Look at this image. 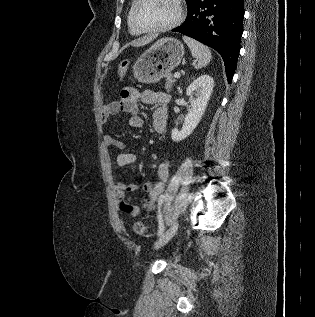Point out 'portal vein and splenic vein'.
I'll use <instances>...</instances> for the list:
<instances>
[{"mask_svg": "<svg viewBox=\"0 0 315 317\" xmlns=\"http://www.w3.org/2000/svg\"><path fill=\"white\" fill-rule=\"evenodd\" d=\"M174 77H175V78H180V73H179V72H175V73H174Z\"/></svg>", "mask_w": 315, "mask_h": 317, "instance_id": "portal-vein-and-splenic-vein-1", "label": "portal vein and splenic vein"}]
</instances>
